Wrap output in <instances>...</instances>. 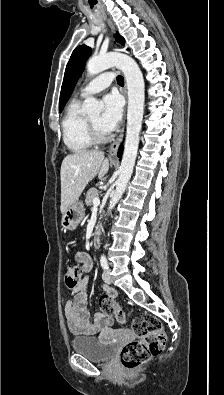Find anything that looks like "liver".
<instances>
[{
	"label": "liver",
	"mask_w": 224,
	"mask_h": 395,
	"mask_svg": "<svg viewBox=\"0 0 224 395\" xmlns=\"http://www.w3.org/2000/svg\"><path fill=\"white\" fill-rule=\"evenodd\" d=\"M108 170L109 160L102 151L79 150L67 155L60 170L61 213L78 201L86 185L96 175L102 178Z\"/></svg>",
	"instance_id": "liver-1"
}]
</instances>
